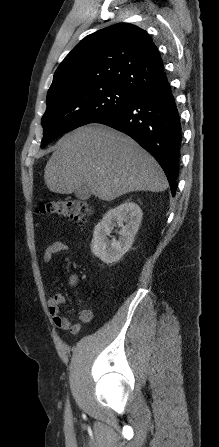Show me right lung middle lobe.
Segmentation results:
<instances>
[{
  "mask_svg": "<svg viewBox=\"0 0 219 447\" xmlns=\"http://www.w3.org/2000/svg\"><path fill=\"white\" fill-rule=\"evenodd\" d=\"M135 95L113 86L101 85L82 91L62 89L47 95V109L42 117L43 148L59 135L129 104Z\"/></svg>",
  "mask_w": 219,
  "mask_h": 447,
  "instance_id": "dd1d6c3e",
  "label": "right lung middle lobe"
}]
</instances>
